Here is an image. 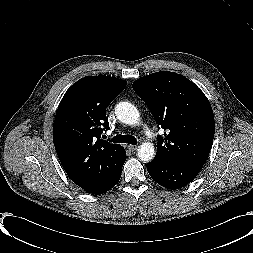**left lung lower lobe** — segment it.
<instances>
[{
    "label": "left lung lower lobe",
    "instance_id": "left-lung-lower-lobe-1",
    "mask_svg": "<svg viewBox=\"0 0 253 253\" xmlns=\"http://www.w3.org/2000/svg\"><path fill=\"white\" fill-rule=\"evenodd\" d=\"M202 165L173 163L157 159L147 164L152 179L167 189H178L190 183L201 170Z\"/></svg>",
    "mask_w": 253,
    "mask_h": 253
}]
</instances>
